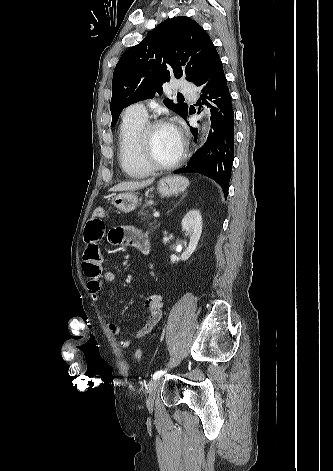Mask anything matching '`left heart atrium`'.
<instances>
[{
	"instance_id": "1",
	"label": "left heart atrium",
	"mask_w": 333,
	"mask_h": 471,
	"mask_svg": "<svg viewBox=\"0 0 333 471\" xmlns=\"http://www.w3.org/2000/svg\"><path fill=\"white\" fill-rule=\"evenodd\" d=\"M172 128H173V130H174V132H175V135H176L177 139H178L179 141H181V135H180L179 131H178L176 128H174V127H172Z\"/></svg>"
}]
</instances>
